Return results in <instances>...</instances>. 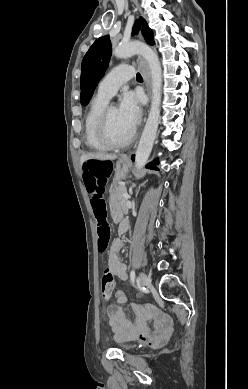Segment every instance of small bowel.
I'll return each instance as SVG.
<instances>
[{
	"mask_svg": "<svg viewBox=\"0 0 248 389\" xmlns=\"http://www.w3.org/2000/svg\"><path fill=\"white\" fill-rule=\"evenodd\" d=\"M122 226L124 228L122 229ZM127 224L119 226V232L126 231ZM122 242L116 239L112 242L108 252V267L121 281L128 278L126 264L119 260ZM116 304L107 308L109 324L117 341L139 340L148 346L163 344L172 334V321L164 313L154 310L146 305L132 303L135 313L134 322H131L121 305L127 302V298H118Z\"/></svg>",
	"mask_w": 248,
	"mask_h": 389,
	"instance_id": "obj_1",
	"label": "small bowel"
}]
</instances>
